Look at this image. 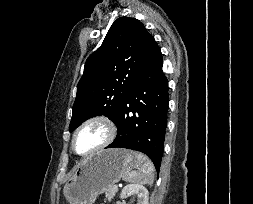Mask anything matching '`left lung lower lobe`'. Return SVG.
Masks as SVG:
<instances>
[{"mask_svg": "<svg viewBox=\"0 0 253 204\" xmlns=\"http://www.w3.org/2000/svg\"><path fill=\"white\" fill-rule=\"evenodd\" d=\"M158 45L125 100L117 120V136L107 148L140 151L159 171L167 127L168 80Z\"/></svg>", "mask_w": 253, "mask_h": 204, "instance_id": "obj_1", "label": "left lung lower lobe"}]
</instances>
